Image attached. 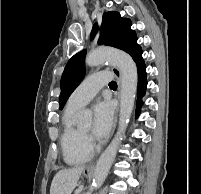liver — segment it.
I'll return each mask as SVG.
<instances>
[{
  "label": "liver",
  "mask_w": 201,
  "mask_h": 194,
  "mask_svg": "<svg viewBox=\"0 0 201 194\" xmlns=\"http://www.w3.org/2000/svg\"><path fill=\"white\" fill-rule=\"evenodd\" d=\"M84 169L80 166L58 171L52 180L50 194H71Z\"/></svg>",
  "instance_id": "6515ba94"
}]
</instances>
